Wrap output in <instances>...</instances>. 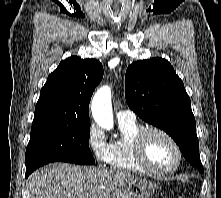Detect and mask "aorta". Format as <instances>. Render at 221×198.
<instances>
[{
  "label": "aorta",
  "mask_w": 221,
  "mask_h": 198,
  "mask_svg": "<svg viewBox=\"0 0 221 198\" xmlns=\"http://www.w3.org/2000/svg\"><path fill=\"white\" fill-rule=\"evenodd\" d=\"M91 112L95 122L106 130L113 128V112L111 105V88L100 87L91 102Z\"/></svg>",
  "instance_id": "obj_1"
}]
</instances>
